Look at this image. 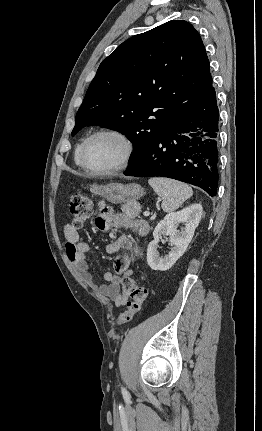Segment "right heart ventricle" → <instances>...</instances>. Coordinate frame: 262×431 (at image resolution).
<instances>
[{
  "mask_svg": "<svg viewBox=\"0 0 262 431\" xmlns=\"http://www.w3.org/2000/svg\"><path fill=\"white\" fill-rule=\"evenodd\" d=\"M83 142H84V141L80 142V143L77 145V147L75 148V151H74V162H75V165H76L77 167H81V164H80V161H79V155H80V150H81V147H82Z\"/></svg>",
  "mask_w": 262,
  "mask_h": 431,
  "instance_id": "1",
  "label": "right heart ventricle"
}]
</instances>
